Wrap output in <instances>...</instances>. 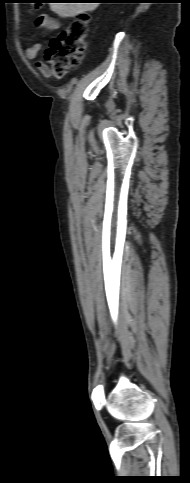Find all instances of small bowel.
I'll use <instances>...</instances> for the list:
<instances>
[{"instance_id":"c3829d8e","label":"small bowel","mask_w":190,"mask_h":483,"mask_svg":"<svg viewBox=\"0 0 190 483\" xmlns=\"http://www.w3.org/2000/svg\"><path fill=\"white\" fill-rule=\"evenodd\" d=\"M36 25L42 29L53 31L57 30L60 26L59 22L52 18L49 14L47 13H42L40 14L37 19H36ZM41 49V44L38 42L32 43L27 49H26V56L29 59H35L38 56V53ZM37 66L40 68V70L46 74V63L43 60H39L37 63Z\"/></svg>"}]
</instances>
